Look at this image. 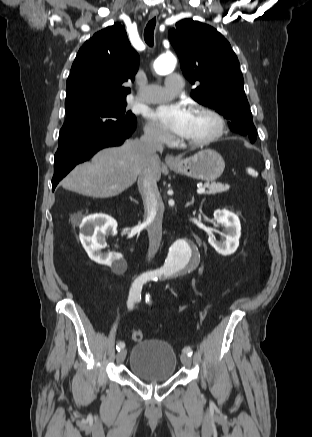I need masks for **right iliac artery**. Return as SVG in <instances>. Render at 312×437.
Segmentation results:
<instances>
[{"instance_id": "right-iliac-artery-1", "label": "right iliac artery", "mask_w": 312, "mask_h": 437, "mask_svg": "<svg viewBox=\"0 0 312 437\" xmlns=\"http://www.w3.org/2000/svg\"><path fill=\"white\" fill-rule=\"evenodd\" d=\"M152 279H154V275L150 273H144L135 279L129 292V297L127 301L128 309H133L135 303L141 300V291L143 285ZM124 346V342H118L116 345V349L120 351L122 348H124Z\"/></svg>"}]
</instances>
